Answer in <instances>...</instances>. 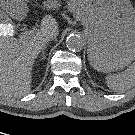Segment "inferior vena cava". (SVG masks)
Listing matches in <instances>:
<instances>
[{
    "instance_id": "obj_1",
    "label": "inferior vena cava",
    "mask_w": 135,
    "mask_h": 135,
    "mask_svg": "<svg viewBox=\"0 0 135 135\" xmlns=\"http://www.w3.org/2000/svg\"><path fill=\"white\" fill-rule=\"evenodd\" d=\"M54 39H56V35L54 33H47L43 38L44 42L52 41Z\"/></svg>"
}]
</instances>
